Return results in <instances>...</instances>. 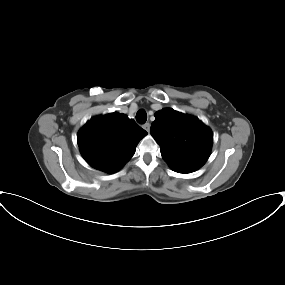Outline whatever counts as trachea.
I'll return each instance as SVG.
<instances>
[{"instance_id":"trachea-1","label":"trachea","mask_w":285,"mask_h":285,"mask_svg":"<svg viewBox=\"0 0 285 285\" xmlns=\"http://www.w3.org/2000/svg\"><path fill=\"white\" fill-rule=\"evenodd\" d=\"M136 120H137V122H138L139 124H144V123L146 122V120H147V114H146V112H145L143 109H141V110H139V111L137 112V114H136Z\"/></svg>"}]
</instances>
